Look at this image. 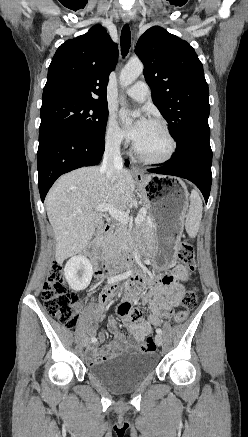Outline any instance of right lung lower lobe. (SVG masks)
Segmentation results:
<instances>
[{
	"instance_id": "right-lung-lower-lobe-1",
	"label": "right lung lower lobe",
	"mask_w": 248,
	"mask_h": 437,
	"mask_svg": "<svg viewBox=\"0 0 248 437\" xmlns=\"http://www.w3.org/2000/svg\"><path fill=\"white\" fill-rule=\"evenodd\" d=\"M104 139H96L65 127L39 132L37 167L42 202L55 180L71 170L98 164L104 152ZM128 166V162L125 163Z\"/></svg>"
}]
</instances>
